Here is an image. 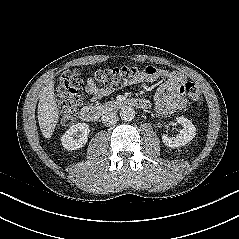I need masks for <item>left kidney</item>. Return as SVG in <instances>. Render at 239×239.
Listing matches in <instances>:
<instances>
[{"label":"left kidney","instance_id":"1","mask_svg":"<svg viewBox=\"0 0 239 239\" xmlns=\"http://www.w3.org/2000/svg\"><path fill=\"white\" fill-rule=\"evenodd\" d=\"M176 121L183 126V129L179 131V134L176 137H169L166 134L162 136L163 143L171 148L184 146L196 135V128L189 119L179 116L176 118Z\"/></svg>","mask_w":239,"mask_h":239}]
</instances>
